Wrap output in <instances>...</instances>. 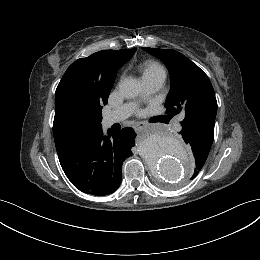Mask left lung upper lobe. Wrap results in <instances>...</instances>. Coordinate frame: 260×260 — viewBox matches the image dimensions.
<instances>
[{"mask_svg":"<svg viewBox=\"0 0 260 260\" xmlns=\"http://www.w3.org/2000/svg\"><path fill=\"white\" fill-rule=\"evenodd\" d=\"M161 58L171 74V88L164 104L170 116L185 114L181 122L186 129L212 144L217 113L215 92L208 76L183 54L172 49L144 48ZM206 158L195 159L198 172Z\"/></svg>","mask_w":260,"mask_h":260,"instance_id":"1","label":"left lung upper lobe"}]
</instances>
